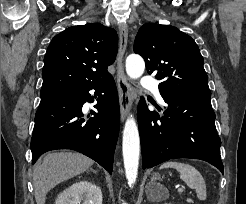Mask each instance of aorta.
I'll list each match as a JSON object with an SVG mask.
<instances>
[{
  "label": "aorta",
  "instance_id": "obj_1",
  "mask_svg": "<svg viewBox=\"0 0 246 204\" xmlns=\"http://www.w3.org/2000/svg\"><path fill=\"white\" fill-rule=\"evenodd\" d=\"M145 70V62L140 55L131 54L126 59V72L131 79L140 78ZM123 160L126 179L131 186L136 182L139 166L140 139L135 119H127L123 130Z\"/></svg>",
  "mask_w": 246,
  "mask_h": 204
}]
</instances>
